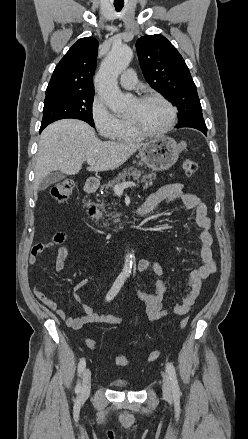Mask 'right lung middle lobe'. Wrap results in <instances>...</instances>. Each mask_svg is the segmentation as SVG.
Returning a JSON list of instances; mask_svg holds the SVG:
<instances>
[{
  "mask_svg": "<svg viewBox=\"0 0 248 439\" xmlns=\"http://www.w3.org/2000/svg\"><path fill=\"white\" fill-rule=\"evenodd\" d=\"M94 91L62 92L46 95L41 126L65 118L80 119L95 126L92 115Z\"/></svg>",
  "mask_w": 248,
  "mask_h": 439,
  "instance_id": "obj_1",
  "label": "right lung middle lobe"
}]
</instances>
